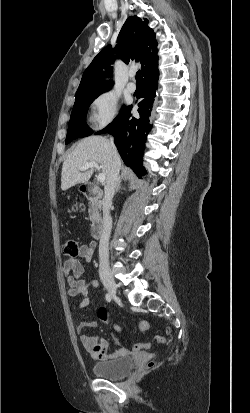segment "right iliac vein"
<instances>
[{
    "label": "right iliac vein",
    "instance_id": "right-iliac-vein-1",
    "mask_svg": "<svg viewBox=\"0 0 250 413\" xmlns=\"http://www.w3.org/2000/svg\"><path fill=\"white\" fill-rule=\"evenodd\" d=\"M101 280H102L105 288L109 292V294L113 298L116 299L117 298V287H116V284H115V281L113 280V278L107 273H102L101 274Z\"/></svg>",
    "mask_w": 250,
    "mask_h": 413
}]
</instances>
